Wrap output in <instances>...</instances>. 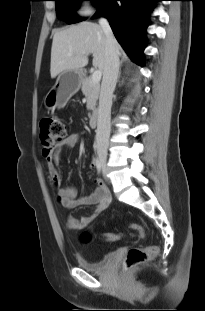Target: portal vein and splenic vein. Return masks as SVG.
<instances>
[{"label":"portal vein and splenic vein","instance_id":"1","mask_svg":"<svg viewBox=\"0 0 205 311\" xmlns=\"http://www.w3.org/2000/svg\"><path fill=\"white\" fill-rule=\"evenodd\" d=\"M72 54H68V56H71ZM102 72L101 70H95L92 74V83H99L101 80Z\"/></svg>","mask_w":205,"mask_h":311}]
</instances>
